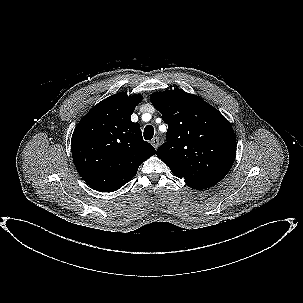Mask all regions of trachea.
Listing matches in <instances>:
<instances>
[{
  "instance_id": "1",
  "label": "trachea",
  "mask_w": 303,
  "mask_h": 303,
  "mask_svg": "<svg viewBox=\"0 0 303 303\" xmlns=\"http://www.w3.org/2000/svg\"><path fill=\"white\" fill-rule=\"evenodd\" d=\"M144 138L145 140H151L154 136V128L153 126L151 125H147L145 128H144Z\"/></svg>"
}]
</instances>
